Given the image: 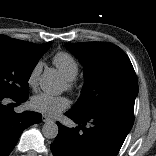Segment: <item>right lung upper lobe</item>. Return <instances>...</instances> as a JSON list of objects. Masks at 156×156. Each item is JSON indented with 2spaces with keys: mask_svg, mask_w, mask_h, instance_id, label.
I'll return each mask as SVG.
<instances>
[{
  "mask_svg": "<svg viewBox=\"0 0 156 156\" xmlns=\"http://www.w3.org/2000/svg\"><path fill=\"white\" fill-rule=\"evenodd\" d=\"M0 42L7 43L10 45L22 48L26 52L32 53V54L42 53L47 48V46L49 45V42L45 43V44H34L31 42H27V41L12 39V38H9V37L4 36V35H0Z\"/></svg>",
  "mask_w": 156,
  "mask_h": 156,
  "instance_id": "right-lung-upper-lobe-1",
  "label": "right lung upper lobe"
}]
</instances>
